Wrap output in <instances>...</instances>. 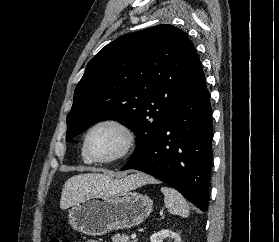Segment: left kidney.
I'll use <instances>...</instances> for the list:
<instances>
[{"label": "left kidney", "mask_w": 279, "mask_h": 242, "mask_svg": "<svg viewBox=\"0 0 279 242\" xmlns=\"http://www.w3.org/2000/svg\"><path fill=\"white\" fill-rule=\"evenodd\" d=\"M166 238H171L174 240V242H181V238L178 233H175V232L167 230V229L166 230L162 229V230L154 233L150 237V242H163V240Z\"/></svg>", "instance_id": "obj_1"}]
</instances>
